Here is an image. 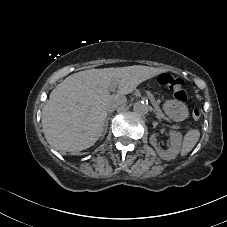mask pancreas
<instances>
[{"instance_id":"1","label":"pancreas","mask_w":227,"mask_h":227,"mask_svg":"<svg viewBox=\"0 0 227 227\" xmlns=\"http://www.w3.org/2000/svg\"><path fill=\"white\" fill-rule=\"evenodd\" d=\"M157 111H161L159 107L156 108ZM162 117H165L164 114H162Z\"/></svg>"}]
</instances>
